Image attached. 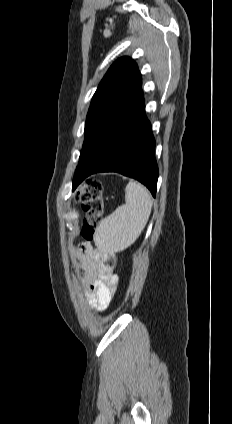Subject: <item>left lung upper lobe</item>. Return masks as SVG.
Returning <instances> with one entry per match:
<instances>
[{"instance_id": "1", "label": "left lung upper lobe", "mask_w": 232, "mask_h": 424, "mask_svg": "<svg viewBox=\"0 0 232 424\" xmlns=\"http://www.w3.org/2000/svg\"><path fill=\"white\" fill-rule=\"evenodd\" d=\"M140 89L141 75L136 63L128 57L115 61L92 98L85 124V139L75 173L83 168L93 141Z\"/></svg>"}]
</instances>
